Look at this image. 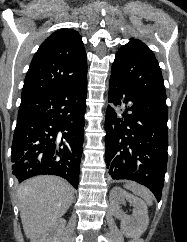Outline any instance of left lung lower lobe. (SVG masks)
Instances as JSON below:
<instances>
[{"mask_svg":"<svg viewBox=\"0 0 187 242\" xmlns=\"http://www.w3.org/2000/svg\"><path fill=\"white\" fill-rule=\"evenodd\" d=\"M108 101L127 104L122 114L106 110V164L113 179H129L149 188L158 201L167 168L168 108L110 76Z\"/></svg>","mask_w":187,"mask_h":242,"instance_id":"left-lung-lower-lobe-1","label":"left lung lower lobe"}]
</instances>
